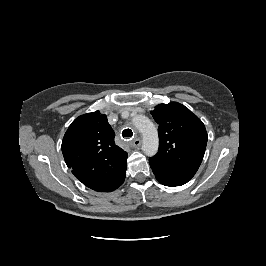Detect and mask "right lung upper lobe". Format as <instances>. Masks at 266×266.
Instances as JSON below:
<instances>
[{"label": "right lung upper lobe", "instance_id": "cb5924a9", "mask_svg": "<svg viewBox=\"0 0 266 266\" xmlns=\"http://www.w3.org/2000/svg\"><path fill=\"white\" fill-rule=\"evenodd\" d=\"M115 133L99 111L77 117L62 141L65 162L87 187L111 192L125 180L127 152L114 142Z\"/></svg>", "mask_w": 266, "mask_h": 266}]
</instances>
